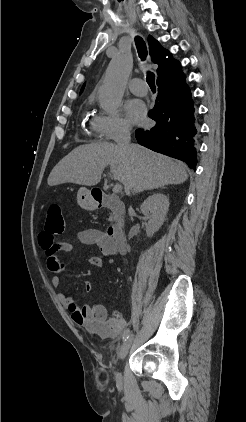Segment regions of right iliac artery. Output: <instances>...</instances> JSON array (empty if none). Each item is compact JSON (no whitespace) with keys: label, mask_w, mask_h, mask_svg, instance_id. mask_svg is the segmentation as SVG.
Segmentation results:
<instances>
[{"label":"right iliac artery","mask_w":246,"mask_h":422,"mask_svg":"<svg viewBox=\"0 0 246 422\" xmlns=\"http://www.w3.org/2000/svg\"><path fill=\"white\" fill-rule=\"evenodd\" d=\"M129 335H130V330L126 329L123 333L122 339L125 341L129 337Z\"/></svg>","instance_id":"right-iliac-artery-1"}]
</instances>
